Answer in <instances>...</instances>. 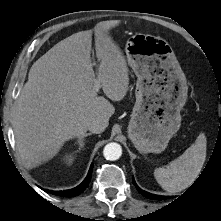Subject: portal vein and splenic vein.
<instances>
[{
    "label": "portal vein and splenic vein",
    "mask_w": 221,
    "mask_h": 221,
    "mask_svg": "<svg viewBox=\"0 0 221 221\" xmlns=\"http://www.w3.org/2000/svg\"><path fill=\"white\" fill-rule=\"evenodd\" d=\"M94 91H96V92H98L99 91V89H100V83H99V81L98 80H95V82H94Z\"/></svg>",
    "instance_id": "1"
}]
</instances>
